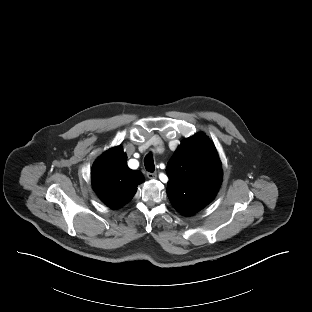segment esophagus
Segmentation results:
<instances>
[{"mask_svg": "<svg viewBox=\"0 0 312 312\" xmlns=\"http://www.w3.org/2000/svg\"><path fill=\"white\" fill-rule=\"evenodd\" d=\"M146 175L149 179H156L157 177V174L155 172H147Z\"/></svg>", "mask_w": 312, "mask_h": 312, "instance_id": "esophagus-1", "label": "esophagus"}]
</instances>
